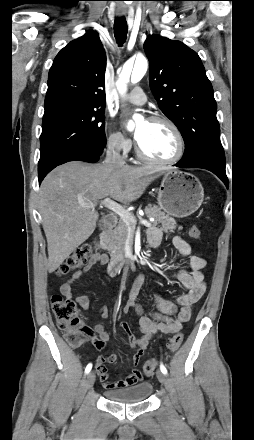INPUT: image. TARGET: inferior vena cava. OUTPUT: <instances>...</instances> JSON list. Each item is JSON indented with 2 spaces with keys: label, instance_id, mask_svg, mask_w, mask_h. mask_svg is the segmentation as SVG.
Segmentation results:
<instances>
[{
  "label": "inferior vena cava",
  "instance_id": "602c4592",
  "mask_svg": "<svg viewBox=\"0 0 254 440\" xmlns=\"http://www.w3.org/2000/svg\"><path fill=\"white\" fill-rule=\"evenodd\" d=\"M121 144L116 140L110 142L106 151L105 163H110L117 166H124V157L120 154Z\"/></svg>",
  "mask_w": 254,
  "mask_h": 440
}]
</instances>
